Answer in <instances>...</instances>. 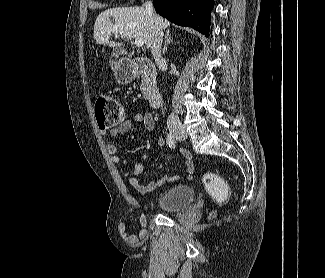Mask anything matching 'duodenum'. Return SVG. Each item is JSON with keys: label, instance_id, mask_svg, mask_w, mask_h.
I'll use <instances>...</instances> for the list:
<instances>
[{"label": "duodenum", "instance_id": "410a0bca", "mask_svg": "<svg viewBox=\"0 0 325 278\" xmlns=\"http://www.w3.org/2000/svg\"><path fill=\"white\" fill-rule=\"evenodd\" d=\"M134 75L142 78L146 85L147 102L151 108L162 104V95L155 86V68L146 58L133 59Z\"/></svg>", "mask_w": 325, "mask_h": 278}]
</instances>
